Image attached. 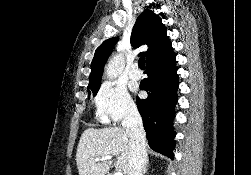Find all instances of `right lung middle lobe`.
I'll return each instance as SVG.
<instances>
[{"instance_id": "obj_1", "label": "right lung middle lobe", "mask_w": 251, "mask_h": 175, "mask_svg": "<svg viewBox=\"0 0 251 175\" xmlns=\"http://www.w3.org/2000/svg\"><path fill=\"white\" fill-rule=\"evenodd\" d=\"M98 89H99V87L88 88V90H89V95H90L91 91L93 92V95H96Z\"/></svg>"}]
</instances>
